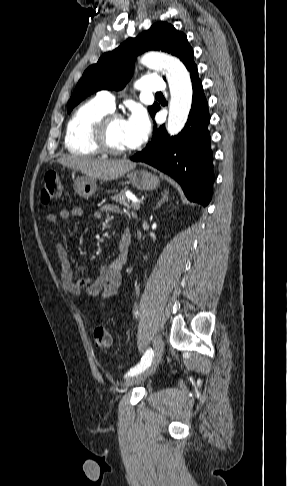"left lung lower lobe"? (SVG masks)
<instances>
[{
	"label": "left lung lower lobe",
	"mask_w": 287,
	"mask_h": 486,
	"mask_svg": "<svg viewBox=\"0 0 287 486\" xmlns=\"http://www.w3.org/2000/svg\"><path fill=\"white\" fill-rule=\"evenodd\" d=\"M190 73L193 99L187 123L177 135L169 137L162 125L153 132L145 149L131 157L170 175L181 185L186 197L208 205L211 200L214 172L208 124L210 116L202 83L193 57L185 64Z\"/></svg>",
	"instance_id": "1"
}]
</instances>
